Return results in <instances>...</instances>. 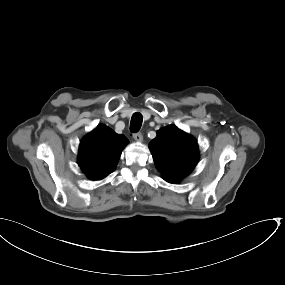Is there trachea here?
Masks as SVG:
<instances>
[{"instance_id":"3493384b","label":"trachea","mask_w":285,"mask_h":285,"mask_svg":"<svg viewBox=\"0 0 285 285\" xmlns=\"http://www.w3.org/2000/svg\"><path fill=\"white\" fill-rule=\"evenodd\" d=\"M142 125V115L140 113H135L131 118L130 130L132 132H138Z\"/></svg>"}]
</instances>
